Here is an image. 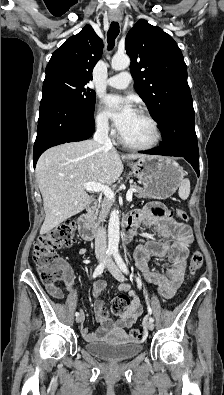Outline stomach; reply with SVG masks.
I'll return each instance as SVG.
<instances>
[{
	"label": "stomach",
	"mask_w": 224,
	"mask_h": 395,
	"mask_svg": "<svg viewBox=\"0 0 224 395\" xmlns=\"http://www.w3.org/2000/svg\"><path fill=\"white\" fill-rule=\"evenodd\" d=\"M129 166L149 197L155 199L172 196L184 176L183 168L169 157L144 156Z\"/></svg>",
	"instance_id": "obj_1"
}]
</instances>
